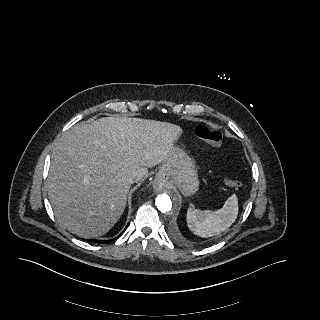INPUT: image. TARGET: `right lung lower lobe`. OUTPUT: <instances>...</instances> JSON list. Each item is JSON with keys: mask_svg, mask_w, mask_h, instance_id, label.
<instances>
[{"mask_svg": "<svg viewBox=\"0 0 320 320\" xmlns=\"http://www.w3.org/2000/svg\"><path fill=\"white\" fill-rule=\"evenodd\" d=\"M89 242H96V243H105V242H108L106 240H87Z\"/></svg>", "mask_w": 320, "mask_h": 320, "instance_id": "obj_1", "label": "right lung lower lobe"}]
</instances>
